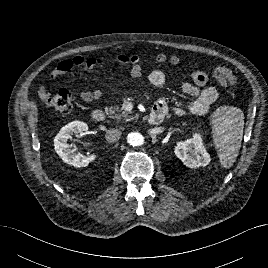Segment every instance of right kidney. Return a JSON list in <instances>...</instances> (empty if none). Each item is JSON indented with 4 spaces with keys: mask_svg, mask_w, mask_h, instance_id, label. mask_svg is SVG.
I'll return each instance as SVG.
<instances>
[{
    "mask_svg": "<svg viewBox=\"0 0 268 268\" xmlns=\"http://www.w3.org/2000/svg\"><path fill=\"white\" fill-rule=\"evenodd\" d=\"M88 125L81 121H73L62 127L59 133L54 138V147L56 153L61 159L76 168L86 167L88 164L95 160L96 155L84 156L80 152H75L71 149L72 145L68 144L67 141L73 134L85 135L88 133Z\"/></svg>",
    "mask_w": 268,
    "mask_h": 268,
    "instance_id": "ca27d5eb",
    "label": "right kidney"
}]
</instances>
